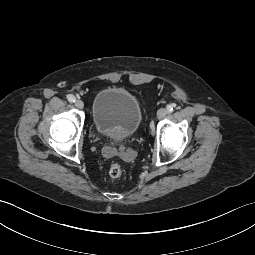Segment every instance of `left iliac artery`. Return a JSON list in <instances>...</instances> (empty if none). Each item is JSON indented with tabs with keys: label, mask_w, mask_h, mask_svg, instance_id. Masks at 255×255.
<instances>
[{
	"label": "left iliac artery",
	"mask_w": 255,
	"mask_h": 255,
	"mask_svg": "<svg viewBox=\"0 0 255 255\" xmlns=\"http://www.w3.org/2000/svg\"><path fill=\"white\" fill-rule=\"evenodd\" d=\"M166 108H167V111L171 112V111L174 110L175 104H169V105L166 106Z\"/></svg>",
	"instance_id": "44dca946"
}]
</instances>
